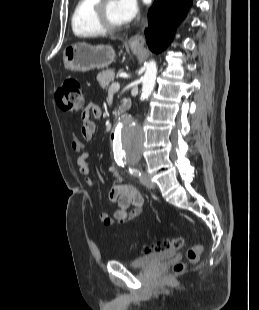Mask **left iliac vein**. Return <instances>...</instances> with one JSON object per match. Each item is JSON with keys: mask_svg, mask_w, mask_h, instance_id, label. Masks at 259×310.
I'll use <instances>...</instances> for the list:
<instances>
[{"mask_svg": "<svg viewBox=\"0 0 259 310\" xmlns=\"http://www.w3.org/2000/svg\"><path fill=\"white\" fill-rule=\"evenodd\" d=\"M139 175L140 182L147 188L149 189H154L155 184L150 180L149 176L147 173L143 171H137Z\"/></svg>", "mask_w": 259, "mask_h": 310, "instance_id": "obj_1", "label": "left iliac vein"}]
</instances>
